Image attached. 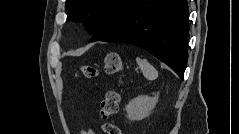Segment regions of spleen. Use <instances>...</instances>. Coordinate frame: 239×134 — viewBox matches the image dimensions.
Wrapping results in <instances>:
<instances>
[{"mask_svg":"<svg viewBox=\"0 0 239 134\" xmlns=\"http://www.w3.org/2000/svg\"><path fill=\"white\" fill-rule=\"evenodd\" d=\"M136 62L139 68L142 70L143 75L148 80H155L158 77V72L146 59L137 57Z\"/></svg>","mask_w":239,"mask_h":134,"instance_id":"3e777b00","label":"spleen"}]
</instances>
